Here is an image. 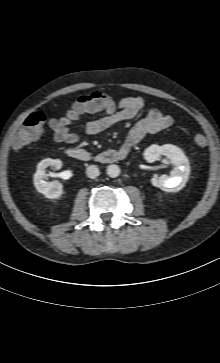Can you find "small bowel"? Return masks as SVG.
Instances as JSON below:
<instances>
[{
    "instance_id": "c3829d8e",
    "label": "small bowel",
    "mask_w": 220,
    "mask_h": 363,
    "mask_svg": "<svg viewBox=\"0 0 220 363\" xmlns=\"http://www.w3.org/2000/svg\"><path fill=\"white\" fill-rule=\"evenodd\" d=\"M146 103L138 96H128L119 101L112 99L101 103L92 98L91 94L82 96L59 118H52L49 122L53 130L54 139L67 144H77L79 136L69 130L72 123L81 121L84 115H93L103 112V116L84 123L87 134L95 135L104 132L117 123L135 118L144 111ZM174 120L171 116L162 113L157 108L148 109L145 114L130 129L124 148H133L146 134H153L171 127Z\"/></svg>"
}]
</instances>
